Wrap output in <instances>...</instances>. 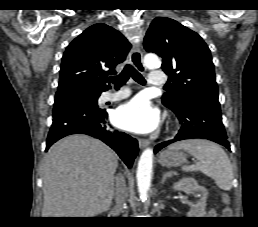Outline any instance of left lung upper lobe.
I'll list each match as a JSON object with an SVG mask.
<instances>
[{
	"label": "left lung upper lobe",
	"mask_w": 258,
	"mask_h": 227,
	"mask_svg": "<svg viewBox=\"0 0 258 227\" xmlns=\"http://www.w3.org/2000/svg\"><path fill=\"white\" fill-rule=\"evenodd\" d=\"M144 48L163 58L162 69L169 75V91L162 96L166 107L177 110L195 99L218 100L211 53L196 32L157 17L146 33Z\"/></svg>",
	"instance_id": "5c2ea615"
}]
</instances>
